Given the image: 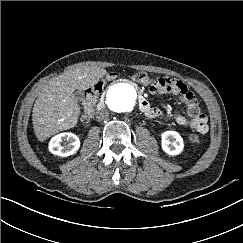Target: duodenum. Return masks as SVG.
Here are the masks:
<instances>
[{"label":"duodenum","mask_w":243,"mask_h":243,"mask_svg":"<svg viewBox=\"0 0 243 243\" xmlns=\"http://www.w3.org/2000/svg\"><path fill=\"white\" fill-rule=\"evenodd\" d=\"M138 103H139V107L142 112L148 113L150 111V106H149L147 100L142 95H138ZM104 106H105V101L102 98V99H100V101L97 104V109L101 110L104 108Z\"/></svg>","instance_id":"duodenum-1"}]
</instances>
